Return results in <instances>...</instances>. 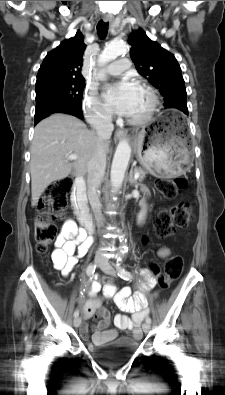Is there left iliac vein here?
<instances>
[{
    "label": "left iliac vein",
    "mask_w": 225,
    "mask_h": 395,
    "mask_svg": "<svg viewBox=\"0 0 225 395\" xmlns=\"http://www.w3.org/2000/svg\"><path fill=\"white\" fill-rule=\"evenodd\" d=\"M101 270L110 275V276H116V271L114 270V268L112 267V265L108 262L107 259L104 260L103 264L100 266ZM150 324L145 322L142 326V329L145 333H148L150 331Z\"/></svg>",
    "instance_id": "1"
}]
</instances>
